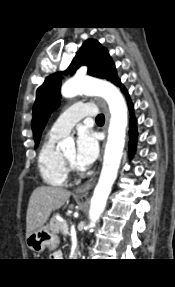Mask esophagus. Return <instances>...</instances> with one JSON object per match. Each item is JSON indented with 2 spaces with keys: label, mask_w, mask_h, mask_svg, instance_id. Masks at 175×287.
Here are the masks:
<instances>
[{
  "label": "esophagus",
  "mask_w": 175,
  "mask_h": 287,
  "mask_svg": "<svg viewBox=\"0 0 175 287\" xmlns=\"http://www.w3.org/2000/svg\"><path fill=\"white\" fill-rule=\"evenodd\" d=\"M94 101L101 107L104 113L105 124L103 127V131L106 134L108 123H109V111H108L107 105L102 99H99V98H94ZM98 174H99V170L95 171L87 181H85L83 184H81L75 189V193L78 195H82V196L87 195L89 191L95 185Z\"/></svg>",
  "instance_id": "obj_1"
}]
</instances>
